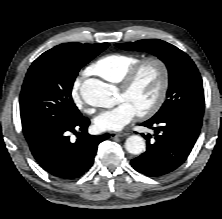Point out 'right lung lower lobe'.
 <instances>
[{
  "label": "right lung lower lobe",
  "mask_w": 222,
  "mask_h": 219,
  "mask_svg": "<svg viewBox=\"0 0 222 219\" xmlns=\"http://www.w3.org/2000/svg\"><path fill=\"white\" fill-rule=\"evenodd\" d=\"M89 124L90 120L81 115L28 141L34 158L46 172L59 179L82 176L93 165L99 143L110 137L108 133L90 135L87 132ZM70 133L77 134L75 142L70 140Z\"/></svg>",
  "instance_id": "right-lung-lower-lobe-1"
}]
</instances>
